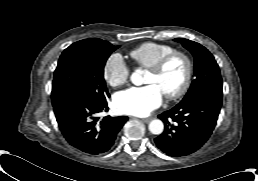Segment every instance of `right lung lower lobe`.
I'll return each instance as SVG.
<instances>
[{
    "label": "right lung lower lobe",
    "instance_id": "right-lung-lower-lobe-1",
    "mask_svg": "<svg viewBox=\"0 0 258 181\" xmlns=\"http://www.w3.org/2000/svg\"><path fill=\"white\" fill-rule=\"evenodd\" d=\"M60 130L73 147L89 154L107 152L116 139L126 116H106L99 120L97 114L108 111L107 102L96 103L72 93L51 96Z\"/></svg>",
    "mask_w": 258,
    "mask_h": 181
}]
</instances>
